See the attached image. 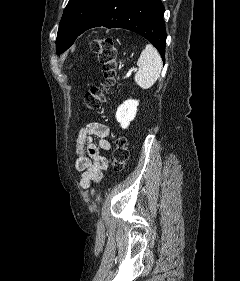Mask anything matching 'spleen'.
Instances as JSON below:
<instances>
[{
  "instance_id": "obj_1",
  "label": "spleen",
  "mask_w": 240,
  "mask_h": 281,
  "mask_svg": "<svg viewBox=\"0 0 240 281\" xmlns=\"http://www.w3.org/2000/svg\"><path fill=\"white\" fill-rule=\"evenodd\" d=\"M137 65L139 68L134 80L142 89H149L160 77L162 69V59L155 47L151 44L146 45L141 52Z\"/></svg>"
}]
</instances>
